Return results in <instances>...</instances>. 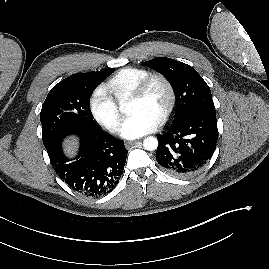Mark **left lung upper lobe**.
<instances>
[{
	"label": "left lung upper lobe",
	"instance_id": "5c2ea615",
	"mask_svg": "<svg viewBox=\"0 0 269 269\" xmlns=\"http://www.w3.org/2000/svg\"><path fill=\"white\" fill-rule=\"evenodd\" d=\"M142 65L156 70L171 83L176 96L173 123L194 113H216L209 86L190 65L165 57L146 61Z\"/></svg>",
	"mask_w": 269,
	"mask_h": 269
}]
</instances>
